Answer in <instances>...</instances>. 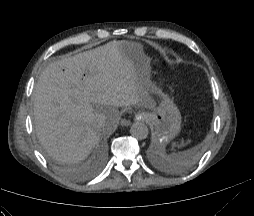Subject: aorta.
<instances>
[{"mask_svg":"<svg viewBox=\"0 0 254 216\" xmlns=\"http://www.w3.org/2000/svg\"><path fill=\"white\" fill-rule=\"evenodd\" d=\"M131 135L138 139L143 140L146 139L149 133L148 127L142 122H135L132 124L130 128Z\"/></svg>","mask_w":254,"mask_h":216,"instance_id":"obj_1","label":"aorta"}]
</instances>
